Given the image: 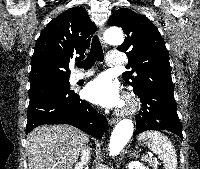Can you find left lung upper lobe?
Segmentation results:
<instances>
[{"instance_id":"5c2ea615","label":"left lung upper lobe","mask_w":200,"mask_h":169,"mask_svg":"<svg viewBox=\"0 0 200 169\" xmlns=\"http://www.w3.org/2000/svg\"><path fill=\"white\" fill-rule=\"evenodd\" d=\"M110 26H119L126 34L125 41L117 49L128 56L129 72L124 81L133 86L139 96L148 88L173 92L169 55L158 29L144 15L131 9L117 10L109 18Z\"/></svg>"}]
</instances>
